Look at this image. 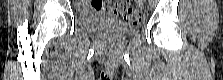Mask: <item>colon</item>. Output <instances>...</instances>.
<instances>
[{
    "label": "colon",
    "instance_id": "5ec220e1",
    "mask_svg": "<svg viewBox=\"0 0 223 80\" xmlns=\"http://www.w3.org/2000/svg\"><path fill=\"white\" fill-rule=\"evenodd\" d=\"M120 12L123 15L124 20L129 23L137 24L142 20V13L137 8H131L128 5V1H118Z\"/></svg>",
    "mask_w": 223,
    "mask_h": 80
}]
</instances>
